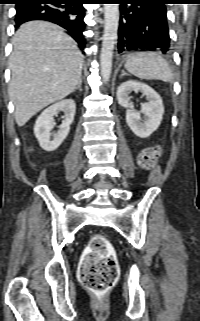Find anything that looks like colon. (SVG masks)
Masks as SVG:
<instances>
[{
    "label": "colon",
    "instance_id": "colon-1",
    "mask_svg": "<svg viewBox=\"0 0 200 321\" xmlns=\"http://www.w3.org/2000/svg\"><path fill=\"white\" fill-rule=\"evenodd\" d=\"M161 151L158 147L145 149L139 156V164L144 169L152 168ZM119 273L116 255L109 240L94 235L84 253L79 268L81 283L91 292L103 294L110 289Z\"/></svg>",
    "mask_w": 200,
    "mask_h": 321
}]
</instances>
